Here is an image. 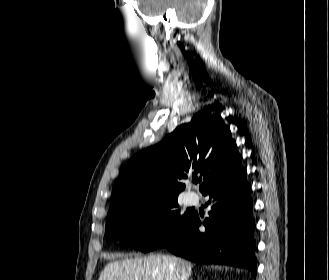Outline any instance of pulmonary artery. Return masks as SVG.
<instances>
[{
    "instance_id": "obj_1",
    "label": "pulmonary artery",
    "mask_w": 329,
    "mask_h": 280,
    "mask_svg": "<svg viewBox=\"0 0 329 280\" xmlns=\"http://www.w3.org/2000/svg\"><path fill=\"white\" fill-rule=\"evenodd\" d=\"M197 201V195L194 193H188L186 196V202L188 204H193Z\"/></svg>"
}]
</instances>
